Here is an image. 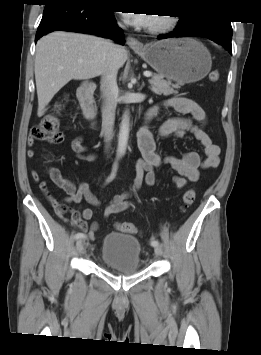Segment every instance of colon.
Listing matches in <instances>:
<instances>
[{"label": "colon", "instance_id": "colon-1", "mask_svg": "<svg viewBox=\"0 0 261 355\" xmlns=\"http://www.w3.org/2000/svg\"><path fill=\"white\" fill-rule=\"evenodd\" d=\"M219 79V71L214 70L209 74V80L211 82H217ZM59 124V119L56 115H47L31 130V138L36 141L59 144L64 139L63 133L59 129ZM195 197V190L188 189L183 195V208L186 209L190 207L195 201ZM116 227L123 233L135 234L138 232V227L129 222H119L116 224Z\"/></svg>", "mask_w": 261, "mask_h": 355}]
</instances>
